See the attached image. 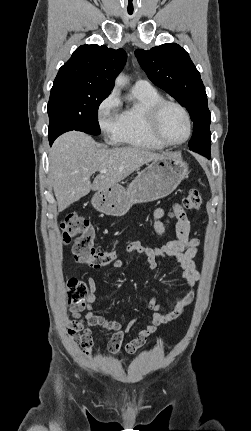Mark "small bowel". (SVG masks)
<instances>
[{
	"instance_id": "small-bowel-1",
	"label": "small bowel",
	"mask_w": 251,
	"mask_h": 431,
	"mask_svg": "<svg viewBox=\"0 0 251 431\" xmlns=\"http://www.w3.org/2000/svg\"><path fill=\"white\" fill-rule=\"evenodd\" d=\"M173 211L177 219L175 239L154 248L132 243L127 246L125 251L126 253L136 251L144 254L147 257V265L151 270L157 269L159 258H172L181 268L182 277L186 281L188 289L185 295L176 303L174 309L166 314L161 312L162 307L156 298L149 300L148 309L151 312V318L136 337L126 343L124 349L129 354L138 350L160 325L179 320L194 299V288L200 278V273L194 262V258L198 254L199 240L190 237V221L184 210L176 204L173 206ZM153 216L156 233L164 237L165 227L161 221L164 216V210L156 208ZM124 266V261L119 259L112 263V267L116 269H121ZM87 284L89 292L85 303L81 306H72L70 308V317L67 319L70 338L82 348V352H77V357H84L85 359L93 357V352L91 351L93 338L90 329L96 326L113 332L108 342V350L111 353H117L122 346L125 335L135 323V320H132L124 327L118 321L110 320L104 314L95 311L93 306L96 301L97 285L94 277L90 276L87 279ZM83 310H85V314L82 316L81 312ZM81 367H86V362H81Z\"/></svg>"
}]
</instances>
